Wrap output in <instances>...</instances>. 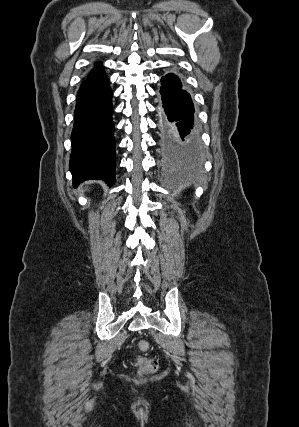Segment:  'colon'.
Wrapping results in <instances>:
<instances>
[{
    "label": "colon",
    "instance_id": "5ec220e1",
    "mask_svg": "<svg viewBox=\"0 0 299 427\" xmlns=\"http://www.w3.org/2000/svg\"><path fill=\"white\" fill-rule=\"evenodd\" d=\"M138 349L145 352L149 349V343L147 341H140L138 343ZM135 364L139 368L141 375H147L154 373L158 369V361L153 358L138 357L135 359Z\"/></svg>",
    "mask_w": 299,
    "mask_h": 427
}]
</instances>
